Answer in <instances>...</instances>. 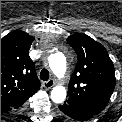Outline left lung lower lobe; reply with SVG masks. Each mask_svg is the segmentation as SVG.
<instances>
[{
    "label": "left lung lower lobe",
    "mask_w": 122,
    "mask_h": 122,
    "mask_svg": "<svg viewBox=\"0 0 122 122\" xmlns=\"http://www.w3.org/2000/svg\"><path fill=\"white\" fill-rule=\"evenodd\" d=\"M59 109L64 114H66L67 116H69L73 119H76V120L84 121V120H88V119H90L91 117L94 116L93 114H91V113H89L85 110L79 109L77 107L71 106V105L66 104V103L59 106Z\"/></svg>",
    "instance_id": "left-lung-lower-lobe-1"
}]
</instances>
